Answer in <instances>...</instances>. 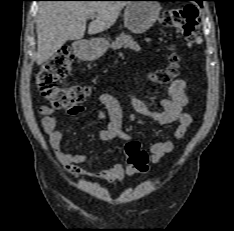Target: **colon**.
Listing matches in <instances>:
<instances>
[{"instance_id":"5ec220e1","label":"colon","mask_w":234,"mask_h":231,"mask_svg":"<svg viewBox=\"0 0 234 231\" xmlns=\"http://www.w3.org/2000/svg\"><path fill=\"white\" fill-rule=\"evenodd\" d=\"M161 21L163 25L179 30L190 43L200 42L198 10L193 5H181L165 11ZM179 57L170 56V67L153 74L155 81L168 83L176 75ZM72 55L69 50L59 51L45 65L38 69L34 81L43 97L51 106L59 110H72L89 95V88L82 85L59 86V80L66 78L72 71ZM128 163L138 172L148 169V155L136 141H129L125 146Z\"/></svg>"}]
</instances>
